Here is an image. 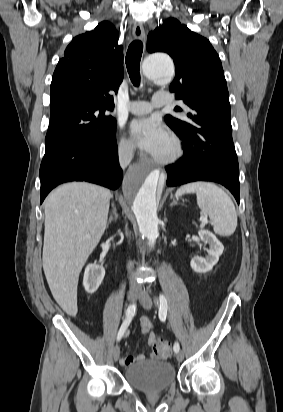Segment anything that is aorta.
<instances>
[{
  "label": "aorta",
  "mask_w": 283,
  "mask_h": 412,
  "mask_svg": "<svg viewBox=\"0 0 283 412\" xmlns=\"http://www.w3.org/2000/svg\"><path fill=\"white\" fill-rule=\"evenodd\" d=\"M145 77L155 83L168 82L174 75V64L166 54H153L143 63ZM160 180L157 169H136L128 173L123 184L124 194L132 201L139 231L154 246L159 236L156 214V190Z\"/></svg>",
  "instance_id": "aorta-1"
}]
</instances>
